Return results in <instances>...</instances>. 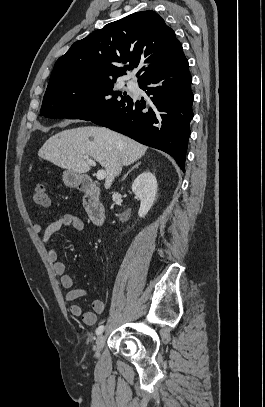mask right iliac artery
Here are the masks:
<instances>
[{"label": "right iliac artery", "mask_w": 265, "mask_h": 407, "mask_svg": "<svg viewBox=\"0 0 265 407\" xmlns=\"http://www.w3.org/2000/svg\"><path fill=\"white\" fill-rule=\"evenodd\" d=\"M103 330H104V326H103V325L99 326V327L96 329V334H97V335L101 334V333L103 332Z\"/></svg>", "instance_id": "right-iliac-artery-1"}]
</instances>
